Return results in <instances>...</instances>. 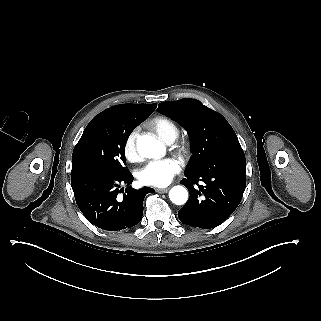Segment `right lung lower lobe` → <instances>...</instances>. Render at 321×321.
<instances>
[{
	"mask_svg": "<svg viewBox=\"0 0 321 321\" xmlns=\"http://www.w3.org/2000/svg\"><path fill=\"white\" fill-rule=\"evenodd\" d=\"M132 181L128 171L117 173L95 166H73L71 171V185L80 211L92 224L109 231L133 227L142 219L144 197L154 189L127 187L120 198V185H130Z\"/></svg>",
	"mask_w": 321,
	"mask_h": 321,
	"instance_id": "obj_1",
	"label": "right lung lower lobe"
}]
</instances>
